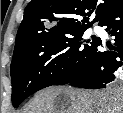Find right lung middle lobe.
Masks as SVG:
<instances>
[{"mask_svg": "<svg viewBox=\"0 0 123 113\" xmlns=\"http://www.w3.org/2000/svg\"><path fill=\"white\" fill-rule=\"evenodd\" d=\"M88 28L72 29L14 48L11 62L12 104L16 108L33 93L77 78L101 39H85Z\"/></svg>", "mask_w": 123, "mask_h": 113, "instance_id": "dd1d6c3e", "label": "right lung middle lobe"}]
</instances>
